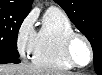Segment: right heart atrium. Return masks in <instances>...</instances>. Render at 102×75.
<instances>
[{"instance_id":"right-heart-atrium-1","label":"right heart atrium","mask_w":102,"mask_h":75,"mask_svg":"<svg viewBox=\"0 0 102 75\" xmlns=\"http://www.w3.org/2000/svg\"><path fill=\"white\" fill-rule=\"evenodd\" d=\"M35 36V15L29 13L20 23L16 34L17 48L22 56L27 57L32 52Z\"/></svg>"}]
</instances>
